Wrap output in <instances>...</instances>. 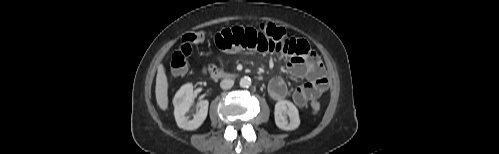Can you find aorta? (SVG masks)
Wrapping results in <instances>:
<instances>
[{"mask_svg": "<svg viewBox=\"0 0 499 154\" xmlns=\"http://www.w3.org/2000/svg\"><path fill=\"white\" fill-rule=\"evenodd\" d=\"M239 85L242 88H248L251 85V79L249 77H243L240 79Z\"/></svg>", "mask_w": 499, "mask_h": 154, "instance_id": "1", "label": "aorta"}]
</instances>
